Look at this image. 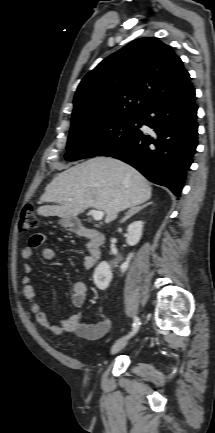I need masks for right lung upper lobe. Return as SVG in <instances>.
Returning <instances> with one entry per match:
<instances>
[{
    "instance_id": "1",
    "label": "right lung upper lobe",
    "mask_w": 215,
    "mask_h": 433,
    "mask_svg": "<svg viewBox=\"0 0 215 433\" xmlns=\"http://www.w3.org/2000/svg\"><path fill=\"white\" fill-rule=\"evenodd\" d=\"M189 82V73L170 46L156 38L134 40L83 78L74 97L72 125L142 116Z\"/></svg>"
}]
</instances>
